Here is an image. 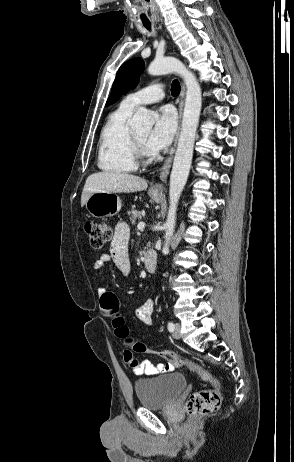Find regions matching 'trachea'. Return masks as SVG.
<instances>
[{"label": "trachea", "mask_w": 294, "mask_h": 462, "mask_svg": "<svg viewBox=\"0 0 294 462\" xmlns=\"http://www.w3.org/2000/svg\"><path fill=\"white\" fill-rule=\"evenodd\" d=\"M143 25L145 26V28H147L148 30L151 29V24L150 23H143ZM180 83L178 82V80H174L172 82V85H171V93L173 96H176L180 93Z\"/></svg>", "instance_id": "trachea-1"}]
</instances>
